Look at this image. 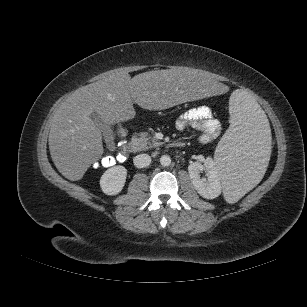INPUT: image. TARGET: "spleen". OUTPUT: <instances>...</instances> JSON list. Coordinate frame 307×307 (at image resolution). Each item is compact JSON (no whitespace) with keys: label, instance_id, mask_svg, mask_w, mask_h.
<instances>
[{"label":"spleen","instance_id":"spleen-1","mask_svg":"<svg viewBox=\"0 0 307 307\" xmlns=\"http://www.w3.org/2000/svg\"><path fill=\"white\" fill-rule=\"evenodd\" d=\"M231 124L215 151L223 195L233 204L251 190L271 163L270 128L257 101L243 90L229 100Z\"/></svg>","mask_w":307,"mask_h":307}]
</instances>
